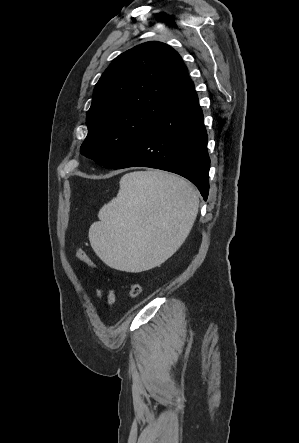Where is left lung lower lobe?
I'll return each instance as SVG.
<instances>
[{
	"label": "left lung lower lobe",
	"instance_id": "obj_1",
	"mask_svg": "<svg viewBox=\"0 0 299 443\" xmlns=\"http://www.w3.org/2000/svg\"><path fill=\"white\" fill-rule=\"evenodd\" d=\"M134 166L179 174L194 183L207 199V133L192 81L112 169Z\"/></svg>",
	"mask_w": 299,
	"mask_h": 443
}]
</instances>
